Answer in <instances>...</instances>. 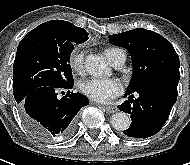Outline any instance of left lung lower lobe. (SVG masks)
<instances>
[{
	"mask_svg": "<svg viewBox=\"0 0 190 165\" xmlns=\"http://www.w3.org/2000/svg\"><path fill=\"white\" fill-rule=\"evenodd\" d=\"M178 79L162 77L150 80L132 92L118 108L131 115L130 127L123 131L129 137L147 138L156 134L167 121L177 99ZM133 93L139 97L133 99Z\"/></svg>",
	"mask_w": 190,
	"mask_h": 165,
	"instance_id": "1",
	"label": "left lung lower lobe"
}]
</instances>
